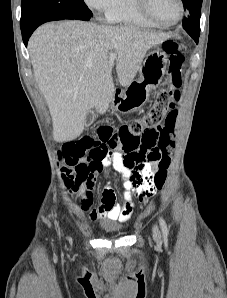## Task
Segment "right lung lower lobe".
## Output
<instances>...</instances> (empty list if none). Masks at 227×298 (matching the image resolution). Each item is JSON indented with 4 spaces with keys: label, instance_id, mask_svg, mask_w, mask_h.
<instances>
[{
    "label": "right lung lower lobe",
    "instance_id": "right-lung-lower-lobe-1",
    "mask_svg": "<svg viewBox=\"0 0 227 298\" xmlns=\"http://www.w3.org/2000/svg\"><path fill=\"white\" fill-rule=\"evenodd\" d=\"M66 18H47V19H42L36 23H34L33 25L29 26L28 28L21 30L22 31V38H23V42L25 44V46L27 47V42L29 40V37L31 36V34L33 33V31L40 26L41 24L48 22V21H53V20H63Z\"/></svg>",
    "mask_w": 227,
    "mask_h": 298
}]
</instances>
